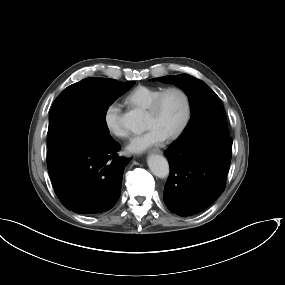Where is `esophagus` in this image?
I'll list each match as a JSON object with an SVG mask.
<instances>
[{
  "instance_id": "34e87169",
  "label": "esophagus",
  "mask_w": 285,
  "mask_h": 285,
  "mask_svg": "<svg viewBox=\"0 0 285 285\" xmlns=\"http://www.w3.org/2000/svg\"><path fill=\"white\" fill-rule=\"evenodd\" d=\"M153 153H157V154H162V150L158 149V148H154L152 149Z\"/></svg>"
}]
</instances>
